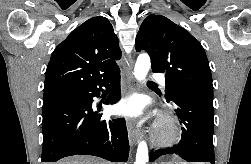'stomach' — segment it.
Returning <instances> with one entry per match:
<instances>
[{
	"mask_svg": "<svg viewBox=\"0 0 251 164\" xmlns=\"http://www.w3.org/2000/svg\"><path fill=\"white\" fill-rule=\"evenodd\" d=\"M161 164H174V163H161ZM175 164H187L185 162L175 163Z\"/></svg>",
	"mask_w": 251,
	"mask_h": 164,
	"instance_id": "1",
	"label": "stomach"
}]
</instances>
